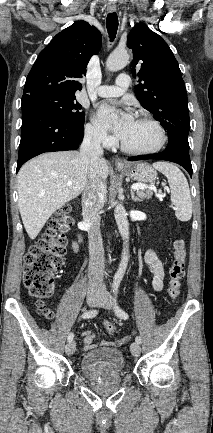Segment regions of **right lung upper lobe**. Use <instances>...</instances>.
<instances>
[{"label":"right lung upper lobe","instance_id":"1","mask_svg":"<svg viewBox=\"0 0 213 433\" xmlns=\"http://www.w3.org/2000/svg\"><path fill=\"white\" fill-rule=\"evenodd\" d=\"M100 48V31L85 21L75 22L40 52L27 76L23 96L38 92L74 95L82 89L77 79L86 75L91 56Z\"/></svg>","mask_w":213,"mask_h":433}]
</instances>
